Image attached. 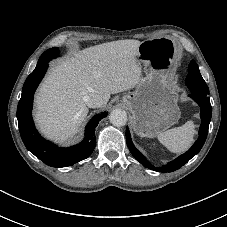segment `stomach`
Masks as SVG:
<instances>
[{"label": "stomach", "mask_w": 227, "mask_h": 227, "mask_svg": "<svg viewBox=\"0 0 227 227\" xmlns=\"http://www.w3.org/2000/svg\"><path fill=\"white\" fill-rule=\"evenodd\" d=\"M174 46L159 39L145 40L137 52L145 77L136 90L122 98L133 116V129L142 137H155L176 124L180 118L178 94L170 72L176 61Z\"/></svg>", "instance_id": "obj_1"}]
</instances>
